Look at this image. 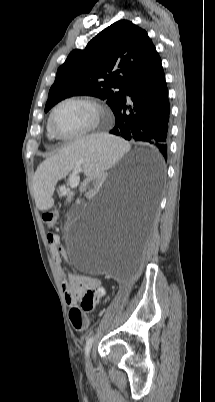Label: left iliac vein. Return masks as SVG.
Masks as SVG:
<instances>
[{"instance_id": "left-iliac-vein-1", "label": "left iliac vein", "mask_w": 215, "mask_h": 402, "mask_svg": "<svg viewBox=\"0 0 215 402\" xmlns=\"http://www.w3.org/2000/svg\"><path fill=\"white\" fill-rule=\"evenodd\" d=\"M86 368L88 370H90L92 368V363H91V359H90L89 355L86 358Z\"/></svg>"}]
</instances>
